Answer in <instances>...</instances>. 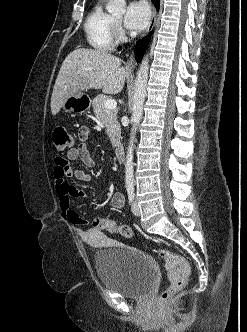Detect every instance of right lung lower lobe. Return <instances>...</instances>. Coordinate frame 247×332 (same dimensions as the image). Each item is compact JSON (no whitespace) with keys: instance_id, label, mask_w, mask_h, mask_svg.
<instances>
[{"instance_id":"right-lung-lower-lobe-1","label":"right lung lower lobe","mask_w":247,"mask_h":332,"mask_svg":"<svg viewBox=\"0 0 247 332\" xmlns=\"http://www.w3.org/2000/svg\"><path fill=\"white\" fill-rule=\"evenodd\" d=\"M152 2L154 3L156 8L158 9L160 0H152ZM149 39H150V36H146L144 39L140 40L137 43L136 50H135L136 51L135 58L138 62H140L141 59L143 58V54L145 53V51L147 49Z\"/></svg>"}]
</instances>
